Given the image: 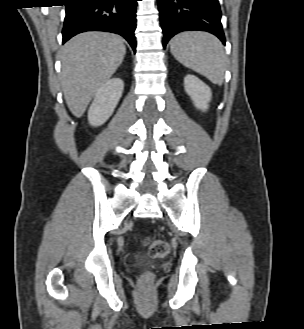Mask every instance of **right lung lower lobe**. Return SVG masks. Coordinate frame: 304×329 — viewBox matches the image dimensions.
Instances as JSON below:
<instances>
[{
  "mask_svg": "<svg viewBox=\"0 0 304 329\" xmlns=\"http://www.w3.org/2000/svg\"><path fill=\"white\" fill-rule=\"evenodd\" d=\"M63 43L85 31H107L123 36L136 51L137 0H66Z\"/></svg>",
  "mask_w": 304,
  "mask_h": 329,
  "instance_id": "right-lung-lower-lobe-1",
  "label": "right lung lower lobe"
}]
</instances>
